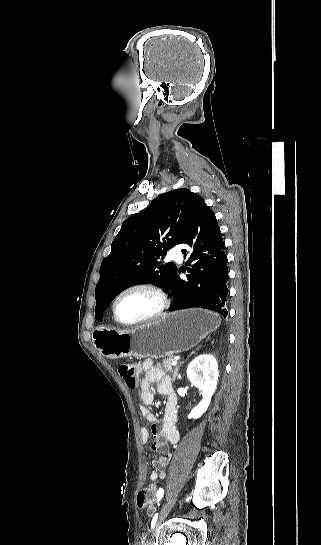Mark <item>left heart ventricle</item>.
I'll use <instances>...</instances> for the list:
<instances>
[{
  "label": "left heart ventricle",
  "instance_id": "1",
  "mask_svg": "<svg viewBox=\"0 0 321 545\" xmlns=\"http://www.w3.org/2000/svg\"><path fill=\"white\" fill-rule=\"evenodd\" d=\"M158 306L159 299L156 295L145 290H135L120 298L117 312L121 320L132 323L153 314Z\"/></svg>",
  "mask_w": 321,
  "mask_h": 545
}]
</instances>
